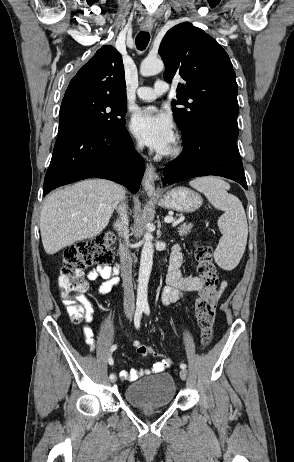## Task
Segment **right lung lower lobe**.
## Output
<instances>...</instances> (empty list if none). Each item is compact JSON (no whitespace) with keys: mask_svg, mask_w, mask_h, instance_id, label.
Listing matches in <instances>:
<instances>
[{"mask_svg":"<svg viewBox=\"0 0 294 462\" xmlns=\"http://www.w3.org/2000/svg\"><path fill=\"white\" fill-rule=\"evenodd\" d=\"M124 125L57 137L43 196L59 186L90 177L121 183L136 193L144 174V160L136 153Z\"/></svg>","mask_w":294,"mask_h":462,"instance_id":"98d812e1","label":"right lung lower lobe"}]
</instances>
